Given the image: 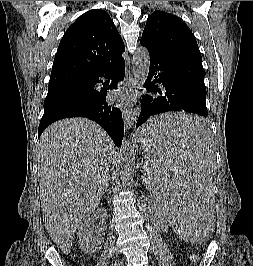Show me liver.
I'll list each match as a JSON object with an SVG mask.
<instances>
[{"mask_svg":"<svg viewBox=\"0 0 253 266\" xmlns=\"http://www.w3.org/2000/svg\"><path fill=\"white\" fill-rule=\"evenodd\" d=\"M116 152L98 124L69 118L51 124L37 144L41 211L56 246L70 252L78 227L98 207Z\"/></svg>","mask_w":253,"mask_h":266,"instance_id":"6515ba94","label":"liver"}]
</instances>
